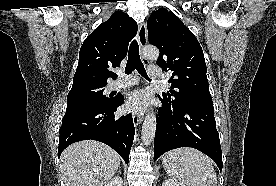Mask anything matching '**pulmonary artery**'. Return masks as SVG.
<instances>
[{
    "label": "pulmonary artery",
    "instance_id": "pulmonary-artery-1",
    "mask_svg": "<svg viewBox=\"0 0 276 186\" xmlns=\"http://www.w3.org/2000/svg\"><path fill=\"white\" fill-rule=\"evenodd\" d=\"M148 75L151 78H159L162 75L161 68L159 66L150 65L148 66ZM138 83V78L136 76H124L121 75L118 79L113 81L110 85L111 89H121L129 86H133Z\"/></svg>",
    "mask_w": 276,
    "mask_h": 186
}]
</instances>
